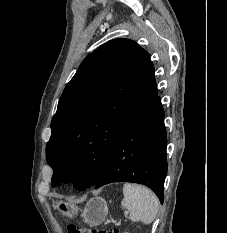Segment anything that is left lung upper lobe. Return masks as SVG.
<instances>
[{
    "label": "left lung upper lobe",
    "mask_w": 227,
    "mask_h": 233,
    "mask_svg": "<svg viewBox=\"0 0 227 233\" xmlns=\"http://www.w3.org/2000/svg\"><path fill=\"white\" fill-rule=\"evenodd\" d=\"M149 54L128 39L89 54L66 85L51 121L46 158L52 186H95L125 129L157 98Z\"/></svg>",
    "instance_id": "5c2ea615"
}]
</instances>
